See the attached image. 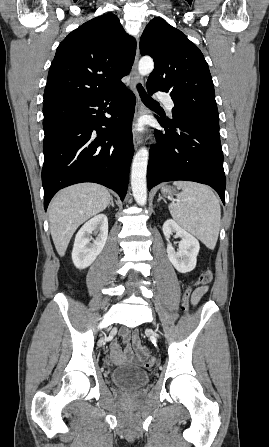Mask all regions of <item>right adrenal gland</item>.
<instances>
[{
  "instance_id": "right-adrenal-gland-1",
  "label": "right adrenal gland",
  "mask_w": 269,
  "mask_h": 447,
  "mask_svg": "<svg viewBox=\"0 0 269 447\" xmlns=\"http://www.w3.org/2000/svg\"><path fill=\"white\" fill-rule=\"evenodd\" d=\"M110 200H111V202H110V206H112V208H114V202H113V198H112V196H111ZM110 206H108V208H110Z\"/></svg>"
}]
</instances>
